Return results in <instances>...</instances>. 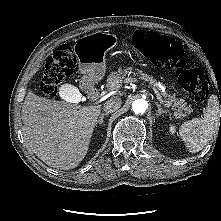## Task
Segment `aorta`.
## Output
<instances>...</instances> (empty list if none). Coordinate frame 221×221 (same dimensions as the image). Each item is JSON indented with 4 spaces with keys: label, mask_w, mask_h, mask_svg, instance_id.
<instances>
[{
    "label": "aorta",
    "mask_w": 221,
    "mask_h": 221,
    "mask_svg": "<svg viewBox=\"0 0 221 221\" xmlns=\"http://www.w3.org/2000/svg\"><path fill=\"white\" fill-rule=\"evenodd\" d=\"M147 108H148V103L144 99H136L132 103V109L136 114L145 112Z\"/></svg>",
    "instance_id": "762f6f07"
}]
</instances>
